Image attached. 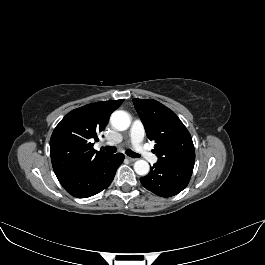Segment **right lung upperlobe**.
<instances>
[{"instance_id": "1", "label": "right lung upper lobe", "mask_w": 265, "mask_h": 265, "mask_svg": "<svg viewBox=\"0 0 265 265\" xmlns=\"http://www.w3.org/2000/svg\"><path fill=\"white\" fill-rule=\"evenodd\" d=\"M122 102L121 99L91 103L72 110L59 122L50 139L51 162L58 180L106 155L96 152L90 141L99 140L98 134Z\"/></svg>"}]
</instances>
